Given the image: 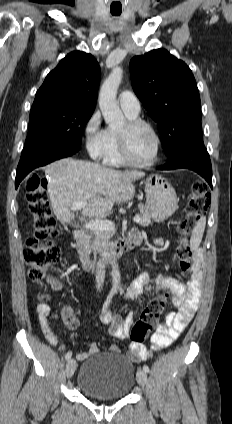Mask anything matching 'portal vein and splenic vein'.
<instances>
[{
    "instance_id": "1",
    "label": "portal vein and splenic vein",
    "mask_w": 232,
    "mask_h": 424,
    "mask_svg": "<svg viewBox=\"0 0 232 424\" xmlns=\"http://www.w3.org/2000/svg\"><path fill=\"white\" fill-rule=\"evenodd\" d=\"M87 205L86 201L75 202L71 206V210L76 211L84 208ZM133 221L139 223L141 218L139 216H135ZM85 227L98 231V230H114L115 225L112 221L108 220H92L85 223Z\"/></svg>"
}]
</instances>
